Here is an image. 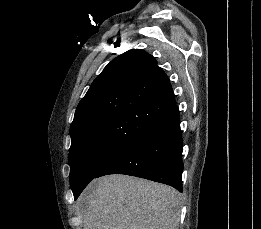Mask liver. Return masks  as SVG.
Listing matches in <instances>:
<instances>
[{
  "label": "liver",
  "instance_id": "6515ba94",
  "mask_svg": "<svg viewBox=\"0 0 261 229\" xmlns=\"http://www.w3.org/2000/svg\"><path fill=\"white\" fill-rule=\"evenodd\" d=\"M181 205L176 189L126 175L94 179L80 201L84 229H177Z\"/></svg>",
  "mask_w": 261,
  "mask_h": 229
}]
</instances>
